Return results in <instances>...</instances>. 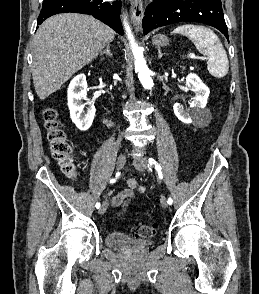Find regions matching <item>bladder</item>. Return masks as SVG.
Returning <instances> with one entry per match:
<instances>
[{
  "instance_id": "1",
  "label": "bladder",
  "mask_w": 259,
  "mask_h": 294,
  "mask_svg": "<svg viewBox=\"0 0 259 294\" xmlns=\"http://www.w3.org/2000/svg\"><path fill=\"white\" fill-rule=\"evenodd\" d=\"M106 244L110 247L125 250H140L152 244L149 239L132 237L122 232H110L105 238Z\"/></svg>"
}]
</instances>
